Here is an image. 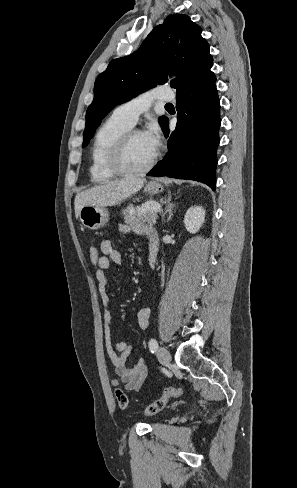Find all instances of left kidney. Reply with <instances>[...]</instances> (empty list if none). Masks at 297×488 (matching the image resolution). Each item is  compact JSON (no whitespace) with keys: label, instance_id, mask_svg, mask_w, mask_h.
<instances>
[{"label":"left kidney","instance_id":"obj_1","mask_svg":"<svg viewBox=\"0 0 297 488\" xmlns=\"http://www.w3.org/2000/svg\"><path fill=\"white\" fill-rule=\"evenodd\" d=\"M205 221V210L201 206L188 209L184 217V224L188 232L196 233Z\"/></svg>","mask_w":297,"mask_h":488}]
</instances>
